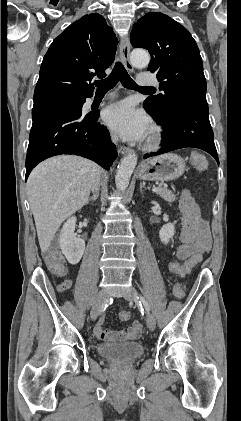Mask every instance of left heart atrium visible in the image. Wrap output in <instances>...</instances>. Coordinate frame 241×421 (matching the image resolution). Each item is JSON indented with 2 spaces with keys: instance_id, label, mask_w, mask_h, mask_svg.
<instances>
[{
  "instance_id": "left-heart-atrium-1",
  "label": "left heart atrium",
  "mask_w": 241,
  "mask_h": 421,
  "mask_svg": "<svg viewBox=\"0 0 241 421\" xmlns=\"http://www.w3.org/2000/svg\"><path fill=\"white\" fill-rule=\"evenodd\" d=\"M104 121L119 136L126 140L140 141L150 130V120L137 109L131 100H123L110 105L104 111Z\"/></svg>"
}]
</instances>
